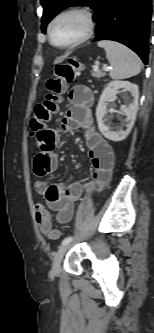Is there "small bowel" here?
Returning <instances> with one entry per match:
<instances>
[{
	"instance_id": "obj_1",
	"label": "small bowel",
	"mask_w": 154,
	"mask_h": 333,
	"mask_svg": "<svg viewBox=\"0 0 154 333\" xmlns=\"http://www.w3.org/2000/svg\"><path fill=\"white\" fill-rule=\"evenodd\" d=\"M69 99L71 106L63 118L62 129L84 131L89 157L94 168L93 179L86 185L81 182H72L67 186L62 183L48 184L43 178L58 167L56 147L59 135L54 129L46 126L35 134L38 152L34 157V173L37 177L34 189L37 194L44 197L48 208L56 213V220L59 223L71 221L75 205L85 190L99 191L105 186L111 179L115 161L111 145L93 125L91 90L87 86L76 85L70 90Z\"/></svg>"
}]
</instances>
